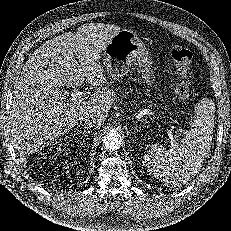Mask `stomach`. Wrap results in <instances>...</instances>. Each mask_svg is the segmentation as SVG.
Segmentation results:
<instances>
[{
  "instance_id": "obj_1",
  "label": "stomach",
  "mask_w": 231,
  "mask_h": 231,
  "mask_svg": "<svg viewBox=\"0 0 231 231\" xmlns=\"http://www.w3.org/2000/svg\"><path fill=\"white\" fill-rule=\"evenodd\" d=\"M104 66L109 77L113 79L124 77L132 65L139 66L144 81L151 80V60L143 41L135 32L122 29L115 34L103 49ZM147 101V106H155ZM145 116H153L154 112L143 110Z\"/></svg>"
}]
</instances>
